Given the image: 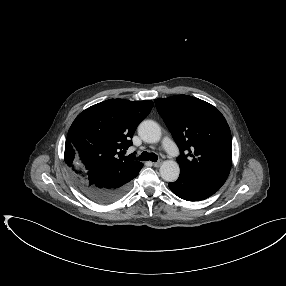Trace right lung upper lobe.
Instances as JSON below:
<instances>
[{
    "mask_svg": "<svg viewBox=\"0 0 286 286\" xmlns=\"http://www.w3.org/2000/svg\"><path fill=\"white\" fill-rule=\"evenodd\" d=\"M152 107L151 100L109 99L87 108L68 131L66 164L90 176L98 186L132 176L142 163L124 157L123 152Z\"/></svg>",
    "mask_w": 286,
    "mask_h": 286,
    "instance_id": "cb5924a9",
    "label": "right lung upper lobe"
}]
</instances>
